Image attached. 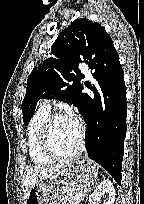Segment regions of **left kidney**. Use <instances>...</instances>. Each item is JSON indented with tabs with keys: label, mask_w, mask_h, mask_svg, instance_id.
<instances>
[{
	"label": "left kidney",
	"mask_w": 144,
	"mask_h": 204,
	"mask_svg": "<svg viewBox=\"0 0 144 204\" xmlns=\"http://www.w3.org/2000/svg\"><path fill=\"white\" fill-rule=\"evenodd\" d=\"M108 194V201L105 204H114L115 197V189L113 187V183L110 180H104L89 196V204H98L100 198L104 195Z\"/></svg>",
	"instance_id": "5707ae66"
}]
</instances>
